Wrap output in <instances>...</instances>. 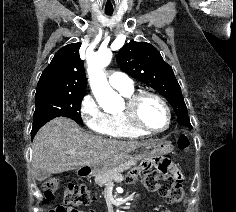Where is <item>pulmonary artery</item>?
Instances as JSON below:
<instances>
[{"label": "pulmonary artery", "instance_id": "pulmonary-artery-1", "mask_svg": "<svg viewBox=\"0 0 236 212\" xmlns=\"http://www.w3.org/2000/svg\"><path fill=\"white\" fill-rule=\"evenodd\" d=\"M109 84L115 89H122L132 85L128 75L122 72H112L109 75Z\"/></svg>", "mask_w": 236, "mask_h": 212}]
</instances>
